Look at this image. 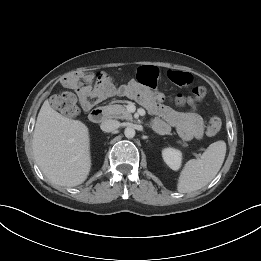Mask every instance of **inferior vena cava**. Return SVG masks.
Wrapping results in <instances>:
<instances>
[{
  "label": "inferior vena cava",
  "mask_w": 261,
  "mask_h": 261,
  "mask_svg": "<svg viewBox=\"0 0 261 261\" xmlns=\"http://www.w3.org/2000/svg\"><path fill=\"white\" fill-rule=\"evenodd\" d=\"M120 127V122L117 120L108 119L101 123L100 128L104 132H112Z\"/></svg>",
  "instance_id": "1"
}]
</instances>
